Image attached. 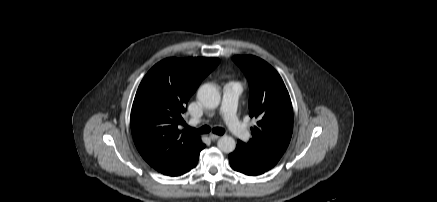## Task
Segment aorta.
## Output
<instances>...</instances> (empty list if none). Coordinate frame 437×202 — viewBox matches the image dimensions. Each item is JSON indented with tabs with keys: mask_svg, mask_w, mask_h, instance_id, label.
<instances>
[{
	"mask_svg": "<svg viewBox=\"0 0 437 202\" xmlns=\"http://www.w3.org/2000/svg\"><path fill=\"white\" fill-rule=\"evenodd\" d=\"M197 99L204 107L215 109L220 104L221 95L215 85L206 83L198 89ZM217 146L222 152L231 153L236 148V142L231 136L224 135L218 140Z\"/></svg>",
	"mask_w": 437,
	"mask_h": 202,
	"instance_id": "1",
	"label": "aorta"
}]
</instances>
